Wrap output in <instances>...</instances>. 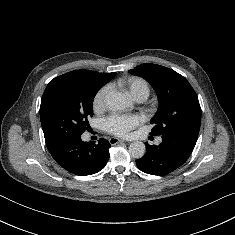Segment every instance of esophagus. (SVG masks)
Listing matches in <instances>:
<instances>
[{"instance_id":"obj_1","label":"esophagus","mask_w":235,"mask_h":235,"mask_svg":"<svg viewBox=\"0 0 235 235\" xmlns=\"http://www.w3.org/2000/svg\"><path fill=\"white\" fill-rule=\"evenodd\" d=\"M122 142H124V140L119 139V138H116V137H111V138L109 139V143H110L111 145H116V144L122 143Z\"/></svg>"}]
</instances>
